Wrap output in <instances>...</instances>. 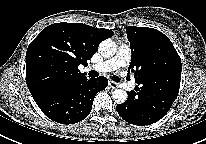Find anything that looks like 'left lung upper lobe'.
<instances>
[{
    "mask_svg": "<svg viewBox=\"0 0 206 144\" xmlns=\"http://www.w3.org/2000/svg\"><path fill=\"white\" fill-rule=\"evenodd\" d=\"M126 32L132 52L128 72H134L135 82L147 91L174 88L179 92L182 63L169 38L148 27L130 26Z\"/></svg>",
    "mask_w": 206,
    "mask_h": 144,
    "instance_id": "left-lung-upper-lobe-1",
    "label": "left lung upper lobe"
}]
</instances>
